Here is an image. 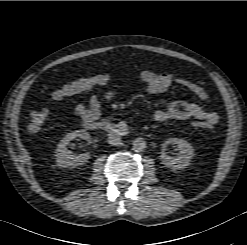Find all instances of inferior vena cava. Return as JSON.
I'll use <instances>...</instances> for the list:
<instances>
[{
  "label": "inferior vena cava",
  "instance_id": "obj_1",
  "mask_svg": "<svg viewBox=\"0 0 247 245\" xmlns=\"http://www.w3.org/2000/svg\"><path fill=\"white\" fill-rule=\"evenodd\" d=\"M108 143L117 146L121 144V138L118 135L110 134L108 137Z\"/></svg>",
  "mask_w": 247,
  "mask_h": 245
}]
</instances>
